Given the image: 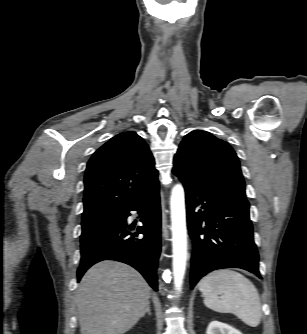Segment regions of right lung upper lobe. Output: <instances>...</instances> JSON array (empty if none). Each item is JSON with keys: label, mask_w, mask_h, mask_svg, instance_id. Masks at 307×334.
<instances>
[{"label": "right lung upper lobe", "mask_w": 307, "mask_h": 334, "mask_svg": "<svg viewBox=\"0 0 307 334\" xmlns=\"http://www.w3.org/2000/svg\"><path fill=\"white\" fill-rule=\"evenodd\" d=\"M154 158L133 131L122 132L100 147L85 172L83 216L120 213L158 185Z\"/></svg>", "instance_id": "right-lung-upper-lobe-1"}]
</instances>
